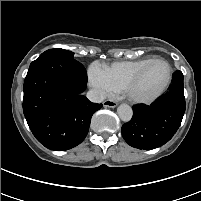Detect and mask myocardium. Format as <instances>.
I'll use <instances>...</instances> for the list:
<instances>
[{
	"mask_svg": "<svg viewBox=\"0 0 201 201\" xmlns=\"http://www.w3.org/2000/svg\"><path fill=\"white\" fill-rule=\"evenodd\" d=\"M155 62H163L168 67V75L165 83L153 94L149 96H139L134 92V88L144 72L148 69L150 65H152ZM173 75V69L171 64L164 58H153L148 63H146L144 66H142L125 84L123 92L125 96L133 103L138 104H148L159 98L169 87Z\"/></svg>",
	"mask_w": 201,
	"mask_h": 201,
	"instance_id": "f54148a6",
	"label": "myocardium"
}]
</instances>
